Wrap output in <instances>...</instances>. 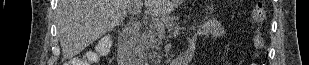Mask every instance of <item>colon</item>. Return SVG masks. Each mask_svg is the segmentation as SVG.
<instances>
[{"label": "colon", "mask_w": 309, "mask_h": 65, "mask_svg": "<svg viewBox=\"0 0 309 65\" xmlns=\"http://www.w3.org/2000/svg\"><path fill=\"white\" fill-rule=\"evenodd\" d=\"M252 18L257 22H263L266 18V10L261 2H257L252 9ZM265 39L261 32L253 36V46L256 51L263 49ZM110 49V42L102 40L97 44L95 51H86L81 59L74 60L75 65H90L97 63L101 56L106 55Z\"/></svg>", "instance_id": "5ec220e1"}]
</instances>
